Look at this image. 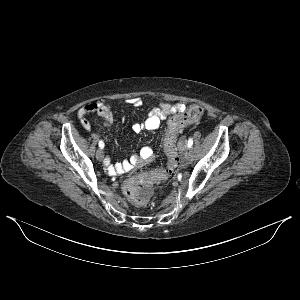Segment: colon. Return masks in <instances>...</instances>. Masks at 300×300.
Listing matches in <instances>:
<instances>
[{
	"instance_id": "5ec220e1",
	"label": "colon",
	"mask_w": 300,
	"mask_h": 300,
	"mask_svg": "<svg viewBox=\"0 0 300 300\" xmlns=\"http://www.w3.org/2000/svg\"><path fill=\"white\" fill-rule=\"evenodd\" d=\"M204 109L199 105H192L188 109L176 114L168 127L164 139V148L169 156V165L159 169L156 173H147L125 183L124 192L135 205H144L150 196L149 183L165 182L172 177L177 167V150L175 141L177 134L186 126L203 116Z\"/></svg>"
}]
</instances>
